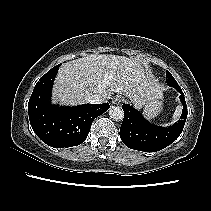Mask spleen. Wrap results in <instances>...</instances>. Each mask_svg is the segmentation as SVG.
Returning <instances> with one entry per match:
<instances>
[{
	"label": "spleen",
	"mask_w": 211,
	"mask_h": 211,
	"mask_svg": "<svg viewBox=\"0 0 211 211\" xmlns=\"http://www.w3.org/2000/svg\"><path fill=\"white\" fill-rule=\"evenodd\" d=\"M181 111H182V107L181 106H177L176 109H175V112L173 114V119H172V122H176L178 120V118L180 117L181 115ZM170 123H165L163 124V126H167L169 125Z\"/></svg>",
	"instance_id": "obj_1"
}]
</instances>
